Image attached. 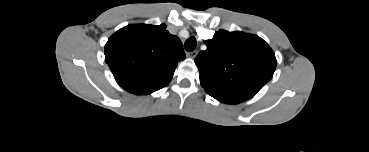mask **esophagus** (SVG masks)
<instances>
[{
    "mask_svg": "<svg viewBox=\"0 0 369 152\" xmlns=\"http://www.w3.org/2000/svg\"><path fill=\"white\" fill-rule=\"evenodd\" d=\"M197 54H198V51L194 50L192 52L187 53V56L194 59L197 56Z\"/></svg>",
    "mask_w": 369,
    "mask_h": 152,
    "instance_id": "esophagus-1",
    "label": "esophagus"
}]
</instances>
